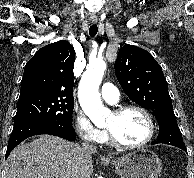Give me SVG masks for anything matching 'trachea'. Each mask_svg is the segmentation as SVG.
Returning a JSON list of instances; mask_svg holds the SVG:
<instances>
[{
	"label": "trachea",
	"instance_id": "1",
	"mask_svg": "<svg viewBox=\"0 0 194 178\" xmlns=\"http://www.w3.org/2000/svg\"><path fill=\"white\" fill-rule=\"evenodd\" d=\"M98 32V27L96 24L94 25H91L90 28H89V34L91 37H94Z\"/></svg>",
	"mask_w": 194,
	"mask_h": 178
}]
</instances>
